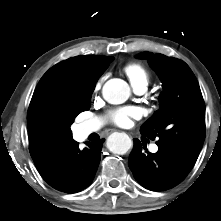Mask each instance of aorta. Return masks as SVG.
<instances>
[{
  "label": "aorta",
  "mask_w": 221,
  "mask_h": 221,
  "mask_svg": "<svg viewBox=\"0 0 221 221\" xmlns=\"http://www.w3.org/2000/svg\"><path fill=\"white\" fill-rule=\"evenodd\" d=\"M104 99L111 104H122L130 96V87L122 79L108 80L102 89ZM132 147V141L125 133H113L108 138V148L112 153L123 155Z\"/></svg>",
  "instance_id": "762f6f07"
}]
</instances>
